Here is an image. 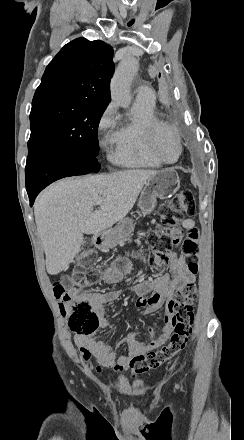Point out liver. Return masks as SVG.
I'll use <instances>...</instances> for the list:
<instances>
[{"mask_svg": "<svg viewBox=\"0 0 244 440\" xmlns=\"http://www.w3.org/2000/svg\"><path fill=\"white\" fill-rule=\"evenodd\" d=\"M154 174L157 170L74 176L43 190L34 204V216L48 274L56 276L74 262L84 242L83 234H99L124 220ZM101 198L103 204L93 212Z\"/></svg>", "mask_w": 244, "mask_h": 440, "instance_id": "1", "label": "liver"}]
</instances>
